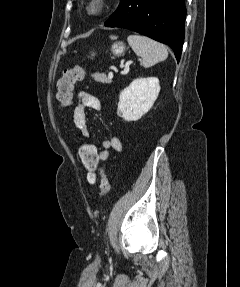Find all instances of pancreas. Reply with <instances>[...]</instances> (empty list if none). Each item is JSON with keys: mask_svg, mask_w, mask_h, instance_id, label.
<instances>
[{"mask_svg": "<svg viewBox=\"0 0 240 287\" xmlns=\"http://www.w3.org/2000/svg\"><path fill=\"white\" fill-rule=\"evenodd\" d=\"M93 78L95 81L100 82V83H110L111 79L106 76L104 73H94Z\"/></svg>", "mask_w": 240, "mask_h": 287, "instance_id": "cf45deb5", "label": "pancreas"}]
</instances>
